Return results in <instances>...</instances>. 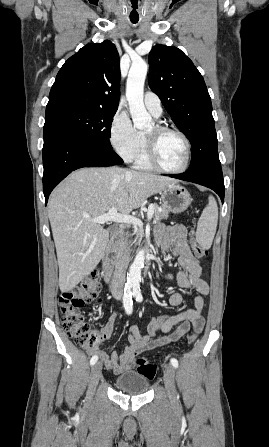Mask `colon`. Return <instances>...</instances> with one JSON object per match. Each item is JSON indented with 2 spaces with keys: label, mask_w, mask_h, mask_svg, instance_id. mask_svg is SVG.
I'll return each instance as SVG.
<instances>
[{
  "label": "colon",
  "mask_w": 269,
  "mask_h": 447,
  "mask_svg": "<svg viewBox=\"0 0 269 447\" xmlns=\"http://www.w3.org/2000/svg\"><path fill=\"white\" fill-rule=\"evenodd\" d=\"M193 233V232H192ZM190 248L198 258L207 256L206 250L195 240H191ZM102 287L100 275L90 273L74 288L62 291L58 297L62 327L70 338L80 347L96 346L101 342V334L92 330L84 309L94 308L100 304L99 294ZM195 333L190 330L187 342H195ZM134 369L141 377L152 380L157 375V365L142 357L133 360Z\"/></svg>",
  "instance_id": "obj_1"
}]
</instances>
